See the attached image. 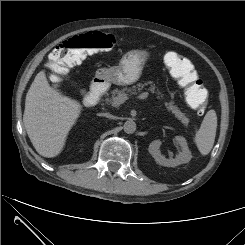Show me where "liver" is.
Returning <instances> with one entry per match:
<instances>
[{
	"label": "liver",
	"instance_id": "liver-1",
	"mask_svg": "<svg viewBox=\"0 0 245 245\" xmlns=\"http://www.w3.org/2000/svg\"><path fill=\"white\" fill-rule=\"evenodd\" d=\"M81 110L77 100L51 87L45 71H40L27 92L23 115L26 132L36 151L48 158L60 154Z\"/></svg>",
	"mask_w": 245,
	"mask_h": 245
}]
</instances>
